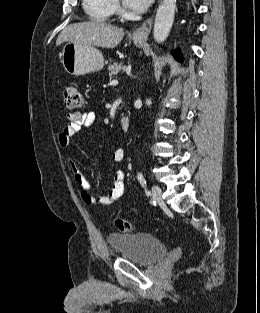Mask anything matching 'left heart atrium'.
<instances>
[{"label":"left heart atrium","instance_id":"obj_1","mask_svg":"<svg viewBox=\"0 0 260 313\" xmlns=\"http://www.w3.org/2000/svg\"><path fill=\"white\" fill-rule=\"evenodd\" d=\"M125 4L135 12L145 11L153 0H124Z\"/></svg>","mask_w":260,"mask_h":313}]
</instances>
